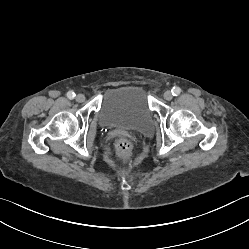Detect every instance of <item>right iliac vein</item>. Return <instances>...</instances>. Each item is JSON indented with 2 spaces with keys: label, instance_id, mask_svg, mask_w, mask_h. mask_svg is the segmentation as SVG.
Returning a JSON list of instances; mask_svg holds the SVG:
<instances>
[{
  "label": "right iliac vein",
  "instance_id": "1",
  "mask_svg": "<svg viewBox=\"0 0 249 249\" xmlns=\"http://www.w3.org/2000/svg\"><path fill=\"white\" fill-rule=\"evenodd\" d=\"M85 100V96L83 95V94H78L77 96H76V101L77 102H83Z\"/></svg>",
  "mask_w": 249,
  "mask_h": 249
}]
</instances>
